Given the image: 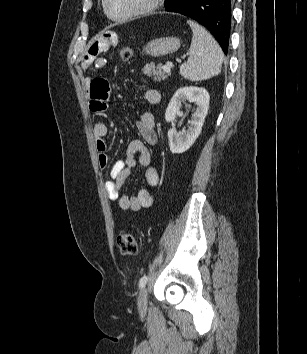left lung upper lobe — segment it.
<instances>
[{"instance_id": "left-lung-upper-lobe-1", "label": "left lung upper lobe", "mask_w": 307, "mask_h": 354, "mask_svg": "<svg viewBox=\"0 0 307 354\" xmlns=\"http://www.w3.org/2000/svg\"><path fill=\"white\" fill-rule=\"evenodd\" d=\"M171 0H165V6H167L170 3Z\"/></svg>"}]
</instances>
